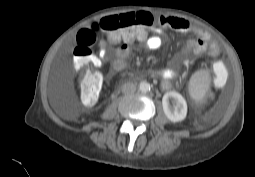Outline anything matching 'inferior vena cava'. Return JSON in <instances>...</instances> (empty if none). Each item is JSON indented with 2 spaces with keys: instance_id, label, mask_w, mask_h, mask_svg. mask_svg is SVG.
Instances as JSON below:
<instances>
[{
  "instance_id": "602c4592",
  "label": "inferior vena cava",
  "mask_w": 255,
  "mask_h": 177,
  "mask_svg": "<svg viewBox=\"0 0 255 177\" xmlns=\"http://www.w3.org/2000/svg\"><path fill=\"white\" fill-rule=\"evenodd\" d=\"M136 91V85L131 82H127L122 86V92L125 94L134 93Z\"/></svg>"
}]
</instances>
